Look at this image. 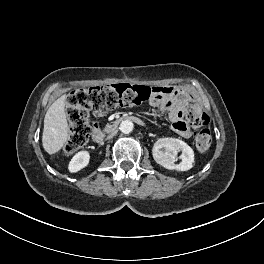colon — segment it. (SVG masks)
<instances>
[{"label": "colon", "mask_w": 264, "mask_h": 264, "mask_svg": "<svg viewBox=\"0 0 264 264\" xmlns=\"http://www.w3.org/2000/svg\"><path fill=\"white\" fill-rule=\"evenodd\" d=\"M154 93V88L127 83L72 90L66 100L70 133L64 147L65 151L73 153L88 142L91 132L96 128V125L89 123L90 111L106 112L119 107L138 106L150 99ZM185 117L188 124L197 129L194 135L196 148L201 152L206 151L211 144V134L206 127L209 122L208 116L194 100H191L186 106Z\"/></svg>", "instance_id": "5ec220e1"}]
</instances>
